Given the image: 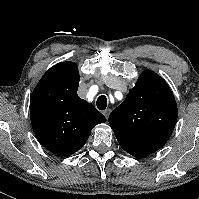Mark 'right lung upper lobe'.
Returning <instances> with one entry per match:
<instances>
[{"mask_svg": "<svg viewBox=\"0 0 199 199\" xmlns=\"http://www.w3.org/2000/svg\"><path fill=\"white\" fill-rule=\"evenodd\" d=\"M80 75L71 61L51 67L36 85L30 99V119L38 141L60 156L80 150L106 118L78 94Z\"/></svg>", "mask_w": 199, "mask_h": 199, "instance_id": "right-lung-upper-lobe-1", "label": "right lung upper lobe"}]
</instances>
